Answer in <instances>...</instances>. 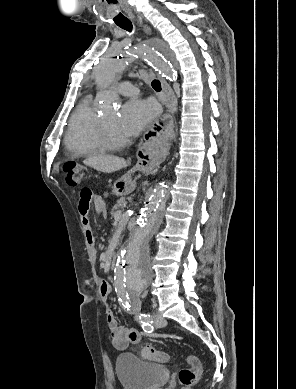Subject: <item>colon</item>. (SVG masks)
Returning a JSON list of instances; mask_svg holds the SVG:
<instances>
[{"label":"colon","instance_id":"obj_1","mask_svg":"<svg viewBox=\"0 0 296 389\" xmlns=\"http://www.w3.org/2000/svg\"><path fill=\"white\" fill-rule=\"evenodd\" d=\"M63 172L67 184L71 187L79 186L85 176V169L76 162L66 163L63 167ZM140 356L145 360L158 363H167L169 361V355L166 352L156 350L148 345L141 349ZM186 362L189 368L181 369L178 379L182 389H191L202 372V364L200 359L194 355L187 356Z\"/></svg>","mask_w":296,"mask_h":389}]
</instances>
